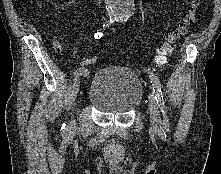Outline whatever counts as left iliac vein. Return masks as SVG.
Listing matches in <instances>:
<instances>
[{"mask_svg":"<svg viewBox=\"0 0 221 174\" xmlns=\"http://www.w3.org/2000/svg\"><path fill=\"white\" fill-rule=\"evenodd\" d=\"M149 110L151 128L152 130L157 131L161 128V117L155 95L152 91L149 93Z\"/></svg>","mask_w":221,"mask_h":174,"instance_id":"obj_1","label":"left iliac vein"}]
</instances>
